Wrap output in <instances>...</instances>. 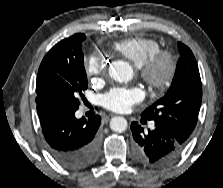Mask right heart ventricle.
Masks as SVG:
<instances>
[{
  "mask_svg": "<svg viewBox=\"0 0 223 188\" xmlns=\"http://www.w3.org/2000/svg\"><path fill=\"white\" fill-rule=\"evenodd\" d=\"M113 50L131 60L137 66L142 65L151 55L161 49L160 43L154 38L129 37L116 41Z\"/></svg>",
  "mask_w": 223,
  "mask_h": 188,
  "instance_id": "1",
  "label": "right heart ventricle"
}]
</instances>
